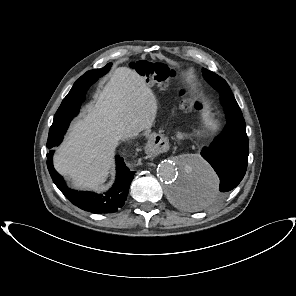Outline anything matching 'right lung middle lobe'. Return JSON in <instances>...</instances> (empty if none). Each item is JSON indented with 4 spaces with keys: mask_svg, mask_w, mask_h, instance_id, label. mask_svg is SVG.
<instances>
[{
    "mask_svg": "<svg viewBox=\"0 0 296 296\" xmlns=\"http://www.w3.org/2000/svg\"><path fill=\"white\" fill-rule=\"evenodd\" d=\"M111 65L112 64L109 63L101 69L88 71L83 75V77H101L109 71ZM84 97L85 93H82L78 89V84L77 82H75L69 94L63 99L59 109L55 114L54 121L49 132L51 138H48L47 145H50L55 138L59 136L63 137L65 131L69 126L70 121L78 114L81 102L84 101Z\"/></svg>",
    "mask_w": 296,
    "mask_h": 296,
    "instance_id": "obj_1",
    "label": "right lung middle lobe"
}]
</instances>
